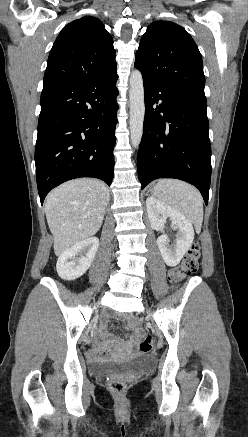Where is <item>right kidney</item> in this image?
I'll return each instance as SVG.
<instances>
[{"label": "right kidney", "mask_w": 248, "mask_h": 437, "mask_svg": "<svg viewBox=\"0 0 248 437\" xmlns=\"http://www.w3.org/2000/svg\"><path fill=\"white\" fill-rule=\"evenodd\" d=\"M98 246L99 239L90 237L64 251L57 260L58 275L68 281L81 277L90 268Z\"/></svg>", "instance_id": "right-kidney-1"}]
</instances>
